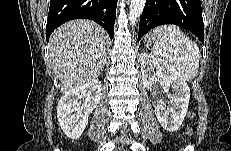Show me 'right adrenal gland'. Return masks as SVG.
Segmentation results:
<instances>
[{
	"mask_svg": "<svg viewBox=\"0 0 231 151\" xmlns=\"http://www.w3.org/2000/svg\"><path fill=\"white\" fill-rule=\"evenodd\" d=\"M107 61H108V58L106 57V58H105V61H104V66L108 64Z\"/></svg>",
	"mask_w": 231,
	"mask_h": 151,
	"instance_id": "obj_1",
	"label": "right adrenal gland"
}]
</instances>
